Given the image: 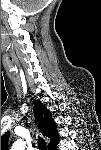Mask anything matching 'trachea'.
Segmentation results:
<instances>
[{
    "mask_svg": "<svg viewBox=\"0 0 101 150\" xmlns=\"http://www.w3.org/2000/svg\"><path fill=\"white\" fill-rule=\"evenodd\" d=\"M38 146L41 150H47L46 142L41 137H38Z\"/></svg>",
    "mask_w": 101,
    "mask_h": 150,
    "instance_id": "trachea-1",
    "label": "trachea"
}]
</instances>
